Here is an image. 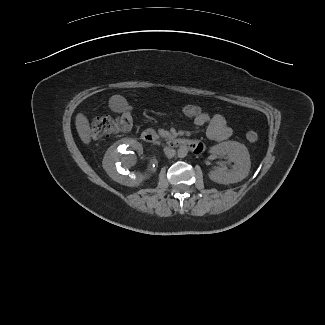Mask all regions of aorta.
<instances>
[{"instance_id": "1", "label": "aorta", "mask_w": 325, "mask_h": 325, "mask_svg": "<svg viewBox=\"0 0 325 325\" xmlns=\"http://www.w3.org/2000/svg\"><path fill=\"white\" fill-rule=\"evenodd\" d=\"M187 154H188V149H187L186 147H184V146L180 147V148L178 149V151H177V155H178V157H180V158H184V157H186Z\"/></svg>"}]
</instances>
